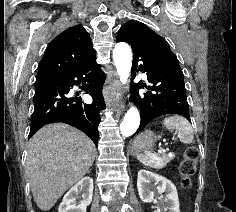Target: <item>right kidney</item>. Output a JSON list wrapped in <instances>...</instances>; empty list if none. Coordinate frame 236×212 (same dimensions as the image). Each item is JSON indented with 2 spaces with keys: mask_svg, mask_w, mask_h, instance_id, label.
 Masks as SVG:
<instances>
[{
  "mask_svg": "<svg viewBox=\"0 0 236 212\" xmlns=\"http://www.w3.org/2000/svg\"><path fill=\"white\" fill-rule=\"evenodd\" d=\"M93 179L89 176L82 178L63 197L58 212H86L92 202ZM77 199H80L77 202Z\"/></svg>",
  "mask_w": 236,
  "mask_h": 212,
  "instance_id": "right-kidney-1",
  "label": "right kidney"
}]
</instances>
